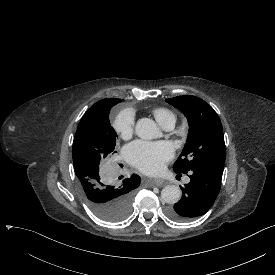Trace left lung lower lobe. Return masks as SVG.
Wrapping results in <instances>:
<instances>
[{"label": "left lung lower lobe", "instance_id": "left-lung-lower-lobe-1", "mask_svg": "<svg viewBox=\"0 0 275 275\" xmlns=\"http://www.w3.org/2000/svg\"><path fill=\"white\" fill-rule=\"evenodd\" d=\"M181 174V173H178ZM190 183L181 187L183 196L166 211L169 218L186 222L204 215L218 196L223 172L197 169L189 172Z\"/></svg>", "mask_w": 275, "mask_h": 275}]
</instances>
